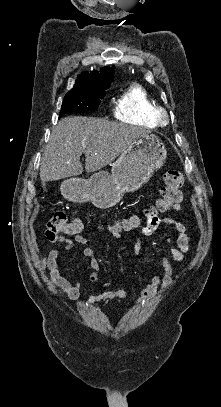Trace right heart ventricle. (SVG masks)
Segmentation results:
<instances>
[{"instance_id":"e07e8e85","label":"right heart ventricle","mask_w":221,"mask_h":407,"mask_svg":"<svg viewBox=\"0 0 221 407\" xmlns=\"http://www.w3.org/2000/svg\"><path fill=\"white\" fill-rule=\"evenodd\" d=\"M157 108L158 103L149 90L134 83L116 97L112 110L114 117L120 121L153 126L157 124Z\"/></svg>"}]
</instances>
